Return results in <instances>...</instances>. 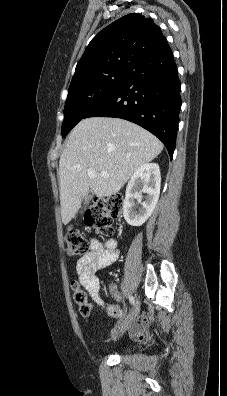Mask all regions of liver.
I'll list each match as a JSON object with an SVG mask.
<instances>
[{"label": "liver", "instance_id": "6515ba94", "mask_svg": "<svg viewBox=\"0 0 227 396\" xmlns=\"http://www.w3.org/2000/svg\"><path fill=\"white\" fill-rule=\"evenodd\" d=\"M162 142L142 127L113 117L81 120L70 132L59 160L61 217L67 225L89 191L108 197L120 191L133 173L156 158ZM96 177L90 178L88 169ZM108 177H102L101 172Z\"/></svg>", "mask_w": 227, "mask_h": 396}]
</instances>
